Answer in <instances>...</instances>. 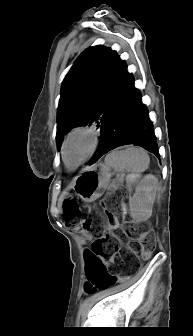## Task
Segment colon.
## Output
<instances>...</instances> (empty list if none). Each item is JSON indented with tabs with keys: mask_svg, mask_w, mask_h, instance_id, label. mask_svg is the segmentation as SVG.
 Listing matches in <instances>:
<instances>
[{
	"mask_svg": "<svg viewBox=\"0 0 193 336\" xmlns=\"http://www.w3.org/2000/svg\"><path fill=\"white\" fill-rule=\"evenodd\" d=\"M104 210L107 221L90 216L89 209L76 199H67L64 204V216L68 223L75 225L80 221L87 232L98 236L91 244L87 278L100 290L113 286L119 280L106 270L104 260L121 254L127 262L133 261L120 248L117 231L121 230L128 239L138 242L144 256H149L156 249V238L149 228L125 224L126 210L123 205L112 201L104 205Z\"/></svg>",
	"mask_w": 193,
	"mask_h": 336,
	"instance_id": "obj_1",
	"label": "colon"
}]
</instances>
